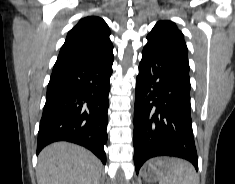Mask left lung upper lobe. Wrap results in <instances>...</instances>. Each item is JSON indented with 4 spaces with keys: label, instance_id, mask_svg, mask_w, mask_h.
Segmentation results:
<instances>
[{
    "label": "left lung upper lobe",
    "instance_id": "1",
    "mask_svg": "<svg viewBox=\"0 0 235 184\" xmlns=\"http://www.w3.org/2000/svg\"><path fill=\"white\" fill-rule=\"evenodd\" d=\"M148 42L159 43L176 52L188 64V49L184 35L171 21H159L147 36Z\"/></svg>",
    "mask_w": 235,
    "mask_h": 184
}]
</instances>
